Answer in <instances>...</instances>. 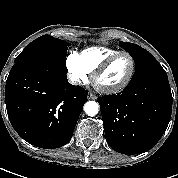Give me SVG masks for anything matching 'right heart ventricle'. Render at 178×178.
I'll list each match as a JSON object with an SVG mask.
<instances>
[{
	"label": "right heart ventricle",
	"mask_w": 178,
	"mask_h": 178,
	"mask_svg": "<svg viewBox=\"0 0 178 178\" xmlns=\"http://www.w3.org/2000/svg\"><path fill=\"white\" fill-rule=\"evenodd\" d=\"M120 52V50L94 46L82 50L78 54L79 61L88 73H92L106 58Z\"/></svg>",
	"instance_id": "obj_1"
}]
</instances>
